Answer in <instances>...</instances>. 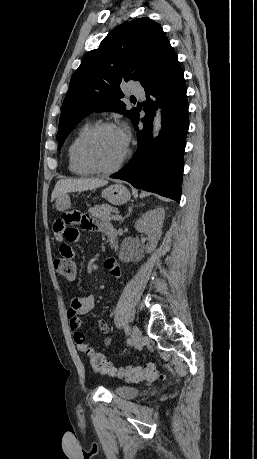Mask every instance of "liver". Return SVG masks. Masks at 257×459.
<instances>
[{
  "mask_svg": "<svg viewBox=\"0 0 257 459\" xmlns=\"http://www.w3.org/2000/svg\"><path fill=\"white\" fill-rule=\"evenodd\" d=\"M107 180L98 178H79L59 180L52 192L51 201L69 192H82L105 186Z\"/></svg>",
  "mask_w": 257,
  "mask_h": 459,
  "instance_id": "liver-1",
  "label": "liver"
}]
</instances>
